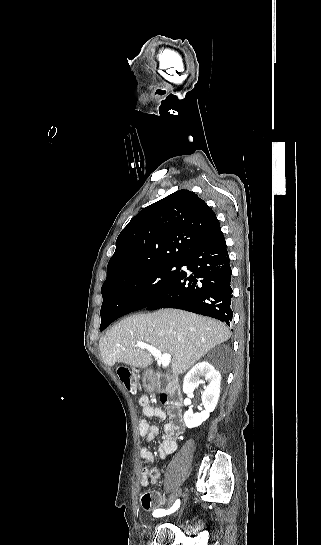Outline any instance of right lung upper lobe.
I'll use <instances>...</instances> for the list:
<instances>
[{"instance_id": "cb5924a9", "label": "right lung upper lobe", "mask_w": 321, "mask_h": 545, "mask_svg": "<svg viewBox=\"0 0 321 545\" xmlns=\"http://www.w3.org/2000/svg\"><path fill=\"white\" fill-rule=\"evenodd\" d=\"M219 228L213 210L189 190L147 206L119 234L102 289L158 265H181Z\"/></svg>"}]
</instances>
